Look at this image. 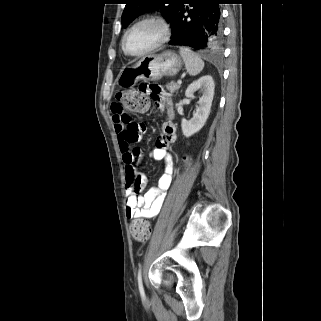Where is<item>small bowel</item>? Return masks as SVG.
Listing matches in <instances>:
<instances>
[{"mask_svg":"<svg viewBox=\"0 0 321 321\" xmlns=\"http://www.w3.org/2000/svg\"><path fill=\"white\" fill-rule=\"evenodd\" d=\"M139 93L145 98L153 97L157 110L165 112L166 119L162 125V134L157 138L151 157L163 163V173L158 182L145 194L137 195L128 188L126 191V217L128 219H151L158 215L164 202L165 193L172 182L174 160L170 153L176 141L175 112L173 101L169 94L163 91L159 82L138 83ZM112 121L118 138V144L126 165V173L136 168L143 159L142 151L132 144L141 140L146 131V125L135 122L130 116H125L118 109L117 104H112Z\"/></svg>","mask_w":321,"mask_h":321,"instance_id":"1","label":"small bowel"}]
</instances>
